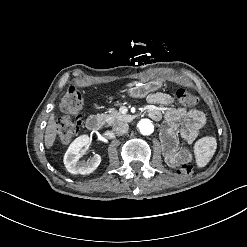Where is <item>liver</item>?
I'll return each instance as SVG.
<instances>
[{
  "mask_svg": "<svg viewBox=\"0 0 247 247\" xmlns=\"http://www.w3.org/2000/svg\"><path fill=\"white\" fill-rule=\"evenodd\" d=\"M58 122L55 118V111L50 113L44 135V145L46 149H51L57 138Z\"/></svg>",
  "mask_w": 247,
  "mask_h": 247,
  "instance_id": "6515ba94",
  "label": "liver"
}]
</instances>
